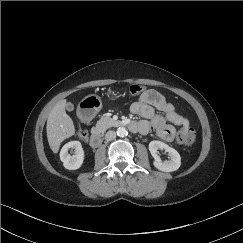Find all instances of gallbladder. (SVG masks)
I'll return each instance as SVG.
<instances>
[{
  "label": "gallbladder",
  "instance_id": "obj_1",
  "mask_svg": "<svg viewBox=\"0 0 243 243\" xmlns=\"http://www.w3.org/2000/svg\"><path fill=\"white\" fill-rule=\"evenodd\" d=\"M66 110L69 111V112L73 111L74 110V105L71 102H68L66 104Z\"/></svg>",
  "mask_w": 243,
  "mask_h": 243
}]
</instances>
